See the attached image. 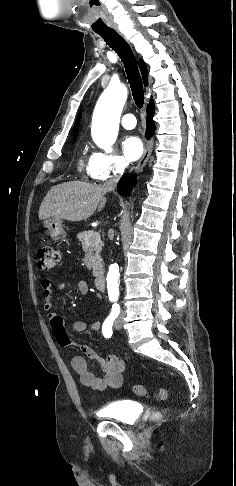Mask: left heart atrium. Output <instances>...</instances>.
Returning <instances> with one entry per match:
<instances>
[{"instance_id": "39dd6f15", "label": "left heart atrium", "mask_w": 236, "mask_h": 486, "mask_svg": "<svg viewBox=\"0 0 236 486\" xmlns=\"http://www.w3.org/2000/svg\"><path fill=\"white\" fill-rule=\"evenodd\" d=\"M122 151L128 161H136L143 153V144L136 136H128L122 141Z\"/></svg>"}]
</instances>
